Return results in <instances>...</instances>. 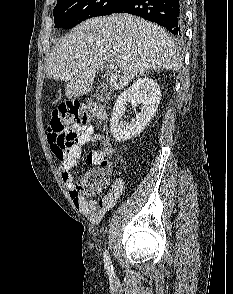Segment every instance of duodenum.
Returning a JSON list of instances; mask_svg holds the SVG:
<instances>
[{
    "label": "duodenum",
    "instance_id": "1",
    "mask_svg": "<svg viewBox=\"0 0 233 294\" xmlns=\"http://www.w3.org/2000/svg\"><path fill=\"white\" fill-rule=\"evenodd\" d=\"M90 108L93 114L100 120H105L107 117L106 110L103 106L96 104L94 102H90Z\"/></svg>",
    "mask_w": 233,
    "mask_h": 294
}]
</instances>
